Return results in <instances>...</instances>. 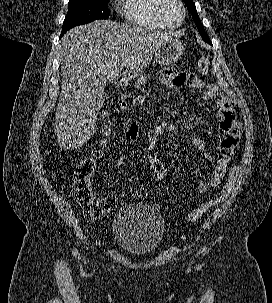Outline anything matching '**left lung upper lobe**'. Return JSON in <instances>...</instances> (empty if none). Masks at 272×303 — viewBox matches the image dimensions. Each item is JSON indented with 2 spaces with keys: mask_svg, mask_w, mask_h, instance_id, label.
I'll return each mask as SVG.
<instances>
[{
  "mask_svg": "<svg viewBox=\"0 0 272 303\" xmlns=\"http://www.w3.org/2000/svg\"><path fill=\"white\" fill-rule=\"evenodd\" d=\"M182 1L187 5L188 11L192 14L193 20L195 21L198 31H199L201 37L203 38V40L207 43H211L208 35L206 34V32L201 24V21L199 19V16L196 11V7H195L193 0H182Z\"/></svg>",
  "mask_w": 272,
  "mask_h": 303,
  "instance_id": "left-lung-upper-lobe-1",
  "label": "left lung upper lobe"
}]
</instances>
